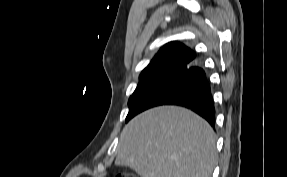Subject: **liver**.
Returning <instances> with one entry per match:
<instances>
[{"label":"liver","mask_w":287,"mask_h":177,"mask_svg":"<svg viewBox=\"0 0 287 177\" xmlns=\"http://www.w3.org/2000/svg\"><path fill=\"white\" fill-rule=\"evenodd\" d=\"M216 139L194 112L160 106L134 117L122 130L116 164L141 177H211Z\"/></svg>","instance_id":"1"}]
</instances>
